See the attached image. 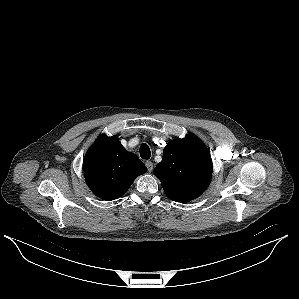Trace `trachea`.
Segmentation results:
<instances>
[{"instance_id":"3493384b","label":"trachea","mask_w":299,"mask_h":299,"mask_svg":"<svg viewBox=\"0 0 299 299\" xmlns=\"http://www.w3.org/2000/svg\"><path fill=\"white\" fill-rule=\"evenodd\" d=\"M140 156H141V158L146 159V160H148L151 156L150 148L146 143H143L140 146Z\"/></svg>"}]
</instances>
